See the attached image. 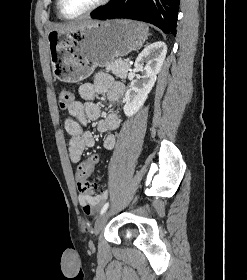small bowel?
<instances>
[{
  "label": "small bowel",
  "mask_w": 247,
  "mask_h": 280,
  "mask_svg": "<svg viewBox=\"0 0 247 280\" xmlns=\"http://www.w3.org/2000/svg\"><path fill=\"white\" fill-rule=\"evenodd\" d=\"M125 87L116 81L110 74L99 72L95 75L93 82L83 83L78 88L82 101H74L68 108L70 117L65 121V130L69 135V158L71 162L78 163L87 148L95 144L93 135L84 130L88 120H97V129L107 133L103 139V147L111 150L115 146V132L120 127V118L114 113L101 115L100 107L95 102L98 94H105L108 100L117 104L123 97ZM106 197V192L99 195L81 194L79 202L86 213H92Z\"/></svg>",
  "instance_id": "1"
}]
</instances>
